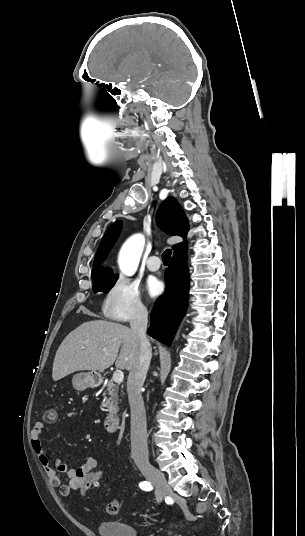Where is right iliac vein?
Here are the masks:
<instances>
[{
    "label": "right iliac vein",
    "instance_id": "1",
    "mask_svg": "<svg viewBox=\"0 0 305 536\" xmlns=\"http://www.w3.org/2000/svg\"><path fill=\"white\" fill-rule=\"evenodd\" d=\"M140 471L148 480L158 485L156 499L158 503H161L165 495L169 493V485L164 475L150 464L140 466Z\"/></svg>",
    "mask_w": 305,
    "mask_h": 536
}]
</instances>
